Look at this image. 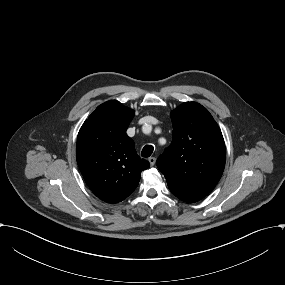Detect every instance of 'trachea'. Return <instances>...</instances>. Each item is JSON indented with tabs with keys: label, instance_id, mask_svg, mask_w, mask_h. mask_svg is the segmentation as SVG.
I'll return each mask as SVG.
<instances>
[{
	"label": "trachea",
	"instance_id": "1",
	"mask_svg": "<svg viewBox=\"0 0 285 285\" xmlns=\"http://www.w3.org/2000/svg\"><path fill=\"white\" fill-rule=\"evenodd\" d=\"M154 148L152 145H146L144 146V148L142 149V157L147 158L150 157L152 152H153Z\"/></svg>",
	"mask_w": 285,
	"mask_h": 285
}]
</instances>
